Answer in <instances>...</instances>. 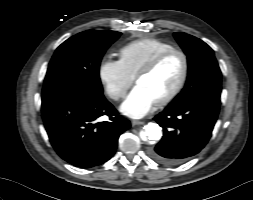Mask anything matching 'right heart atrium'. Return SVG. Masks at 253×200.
Returning a JSON list of instances; mask_svg holds the SVG:
<instances>
[{
    "mask_svg": "<svg viewBox=\"0 0 253 200\" xmlns=\"http://www.w3.org/2000/svg\"><path fill=\"white\" fill-rule=\"evenodd\" d=\"M98 78L106 93L112 100L123 98L132 83L119 60L103 58L98 66Z\"/></svg>",
    "mask_w": 253,
    "mask_h": 200,
    "instance_id": "right-heart-atrium-1",
    "label": "right heart atrium"
}]
</instances>
